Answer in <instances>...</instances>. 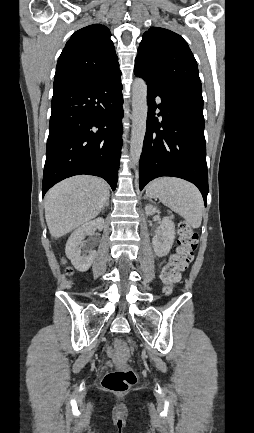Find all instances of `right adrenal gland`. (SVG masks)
Instances as JSON below:
<instances>
[{
  "instance_id": "obj_1",
  "label": "right adrenal gland",
  "mask_w": 254,
  "mask_h": 433,
  "mask_svg": "<svg viewBox=\"0 0 254 433\" xmlns=\"http://www.w3.org/2000/svg\"><path fill=\"white\" fill-rule=\"evenodd\" d=\"M109 197H110V196H109ZM109 197L107 198L106 204L104 205V207L102 208V210H104L105 207H108V206H109Z\"/></svg>"
}]
</instances>
